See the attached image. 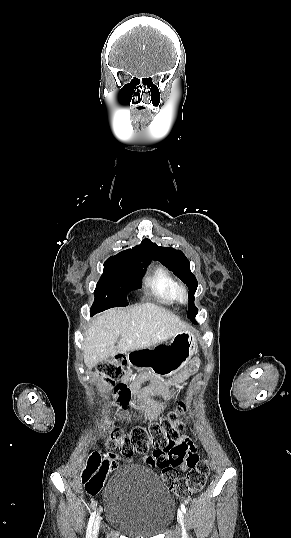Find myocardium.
<instances>
[{"mask_svg":"<svg viewBox=\"0 0 291 538\" xmlns=\"http://www.w3.org/2000/svg\"><path fill=\"white\" fill-rule=\"evenodd\" d=\"M175 300L179 303L185 304L189 300V294L187 288L181 284L177 283L175 287Z\"/></svg>","mask_w":291,"mask_h":538,"instance_id":"myocardium-1","label":"myocardium"}]
</instances>
